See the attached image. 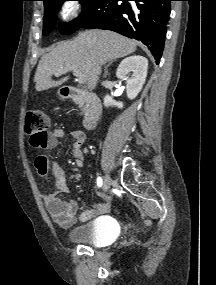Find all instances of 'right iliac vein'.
<instances>
[{
  "label": "right iliac vein",
  "mask_w": 216,
  "mask_h": 285,
  "mask_svg": "<svg viewBox=\"0 0 216 285\" xmlns=\"http://www.w3.org/2000/svg\"><path fill=\"white\" fill-rule=\"evenodd\" d=\"M111 183H112L111 177L108 174H106L104 176V181H103V190L105 192H107L110 189Z\"/></svg>",
  "instance_id": "obj_1"
}]
</instances>
